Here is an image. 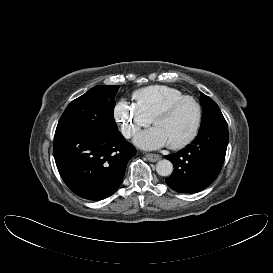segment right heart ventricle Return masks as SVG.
<instances>
[{
	"mask_svg": "<svg viewBox=\"0 0 273 273\" xmlns=\"http://www.w3.org/2000/svg\"><path fill=\"white\" fill-rule=\"evenodd\" d=\"M183 96L178 89L164 85L148 86L133 93L135 104L151 121L168 103Z\"/></svg>",
	"mask_w": 273,
	"mask_h": 273,
	"instance_id": "obj_1",
	"label": "right heart ventricle"
}]
</instances>
